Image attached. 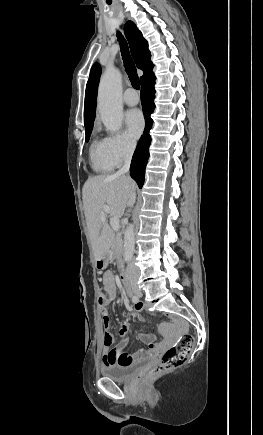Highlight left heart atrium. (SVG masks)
Instances as JSON below:
<instances>
[{"label":"left heart atrium","mask_w":263,"mask_h":435,"mask_svg":"<svg viewBox=\"0 0 263 435\" xmlns=\"http://www.w3.org/2000/svg\"><path fill=\"white\" fill-rule=\"evenodd\" d=\"M125 123L129 137L133 140L138 139L145 126L141 111L138 109L128 111L125 116Z\"/></svg>","instance_id":"39dd6f15"}]
</instances>
